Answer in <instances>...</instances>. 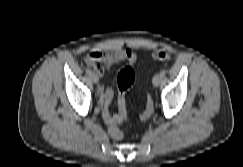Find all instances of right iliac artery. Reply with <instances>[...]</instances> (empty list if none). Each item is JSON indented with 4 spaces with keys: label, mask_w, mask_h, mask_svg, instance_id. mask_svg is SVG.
Masks as SVG:
<instances>
[{
    "label": "right iliac artery",
    "mask_w": 243,
    "mask_h": 167,
    "mask_svg": "<svg viewBox=\"0 0 243 167\" xmlns=\"http://www.w3.org/2000/svg\"><path fill=\"white\" fill-rule=\"evenodd\" d=\"M86 73H87V74H91V73H92L91 69L87 68V69H86Z\"/></svg>",
    "instance_id": "82829eb1"
}]
</instances>
